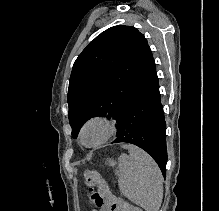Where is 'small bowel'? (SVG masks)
<instances>
[{
	"label": "small bowel",
	"instance_id": "c3829d8e",
	"mask_svg": "<svg viewBox=\"0 0 219 211\" xmlns=\"http://www.w3.org/2000/svg\"><path fill=\"white\" fill-rule=\"evenodd\" d=\"M92 202L97 207L95 211H111L109 204L100 200L97 195L93 196Z\"/></svg>",
	"mask_w": 219,
	"mask_h": 211
}]
</instances>
